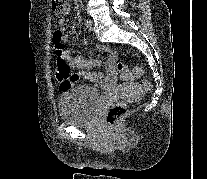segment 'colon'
Masks as SVG:
<instances>
[{"label":"colon","mask_w":207,"mask_h":179,"mask_svg":"<svg viewBox=\"0 0 207 179\" xmlns=\"http://www.w3.org/2000/svg\"><path fill=\"white\" fill-rule=\"evenodd\" d=\"M52 9L54 13L63 17L68 10L67 0H52ZM62 32L57 29L52 34V41L54 45V68L57 76V81L60 89L66 90L72 86V84L78 81L77 77L70 73L69 65L66 61L64 51L62 48ZM117 69L121 74V78L124 81H130L135 78H139L143 75L144 70L141 67H135L132 70L126 68L123 63L117 64ZM143 91H150L151 84L148 81L142 83ZM127 115V107L123 102H119L110 107L106 114V123L109 126H116Z\"/></svg>","instance_id":"1"}]
</instances>
